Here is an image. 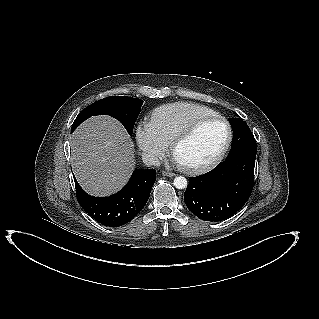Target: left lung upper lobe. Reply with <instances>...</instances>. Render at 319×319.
<instances>
[{"instance_id": "1", "label": "left lung upper lobe", "mask_w": 319, "mask_h": 319, "mask_svg": "<svg viewBox=\"0 0 319 319\" xmlns=\"http://www.w3.org/2000/svg\"><path fill=\"white\" fill-rule=\"evenodd\" d=\"M233 130L231 153L253 151L257 153L255 138L248 125L241 119L236 118L235 122L229 121Z\"/></svg>"}]
</instances>
